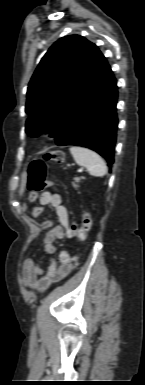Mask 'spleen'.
<instances>
[{
	"label": "spleen",
	"mask_w": 145,
	"mask_h": 385,
	"mask_svg": "<svg viewBox=\"0 0 145 385\" xmlns=\"http://www.w3.org/2000/svg\"><path fill=\"white\" fill-rule=\"evenodd\" d=\"M70 152L75 162L84 166L91 175L102 177L107 174L106 163L96 152L80 146H72Z\"/></svg>",
	"instance_id": "obj_1"
}]
</instances>
